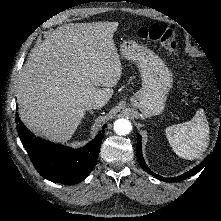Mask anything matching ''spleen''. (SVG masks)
<instances>
[{
	"label": "spleen",
	"instance_id": "1",
	"mask_svg": "<svg viewBox=\"0 0 221 221\" xmlns=\"http://www.w3.org/2000/svg\"><path fill=\"white\" fill-rule=\"evenodd\" d=\"M166 137L174 152L182 158H200L209 144V125L203 109L188 122L166 128Z\"/></svg>",
	"mask_w": 221,
	"mask_h": 221
}]
</instances>
